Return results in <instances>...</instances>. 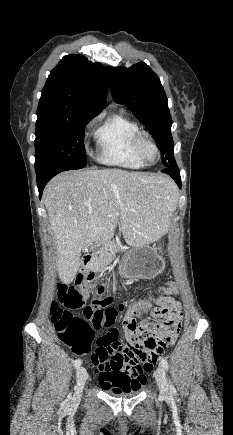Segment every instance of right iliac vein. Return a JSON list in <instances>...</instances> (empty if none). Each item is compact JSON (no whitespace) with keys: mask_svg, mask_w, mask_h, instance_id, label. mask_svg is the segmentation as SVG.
<instances>
[{"mask_svg":"<svg viewBox=\"0 0 233 435\" xmlns=\"http://www.w3.org/2000/svg\"><path fill=\"white\" fill-rule=\"evenodd\" d=\"M87 379V371L84 367H79L76 372V397L80 398Z\"/></svg>","mask_w":233,"mask_h":435,"instance_id":"right-iliac-vein-1","label":"right iliac vein"}]
</instances>
